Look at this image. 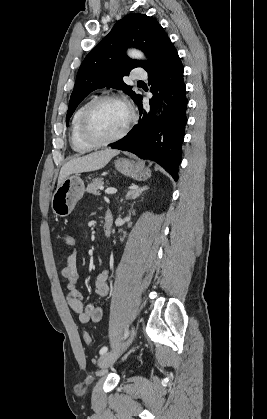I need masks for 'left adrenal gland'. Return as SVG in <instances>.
<instances>
[{"instance_id": "a2214340", "label": "left adrenal gland", "mask_w": 267, "mask_h": 419, "mask_svg": "<svg viewBox=\"0 0 267 419\" xmlns=\"http://www.w3.org/2000/svg\"><path fill=\"white\" fill-rule=\"evenodd\" d=\"M149 187L148 186H142L139 188H134L128 191L127 195H126V200H133L136 199L137 197H139L144 191L148 190Z\"/></svg>"}]
</instances>
